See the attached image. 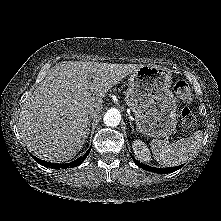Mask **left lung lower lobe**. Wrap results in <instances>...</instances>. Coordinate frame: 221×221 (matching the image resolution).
<instances>
[{
  "label": "left lung lower lobe",
  "mask_w": 221,
  "mask_h": 221,
  "mask_svg": "<svg viewBox=\"0 0 221 221\" xmlns=\"http://www.w3.org/2000/svg\"><path fill=\"white\" fill-rule=\"evenodd\" d=\"M131 157L138 167H140L144 170H148V171L156 172V173H160V174L175 172L183 166V165H179V166L171 167V168H155V167H150V166H147L143 163H140L139 161L135 160V158L132 155H131Z\"/></svg>",
  "instance_id": "left-lung-lower-lobe-1"
}]
</instances>
